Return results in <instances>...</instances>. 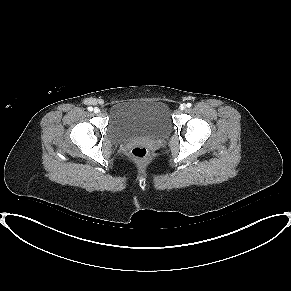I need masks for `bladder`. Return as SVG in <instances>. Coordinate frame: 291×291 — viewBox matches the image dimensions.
Masks as SVG:
<instances>
[{"mask_svg": "<svg viewBox=\"0 0 291 291\" xmlns=\"http://www.w3.org/2000/svg\"><path fill=\"white\" fill-rule=\"evenodd\" d=\"M172 125L170 109L162 100L121 101L110 106L108 112V134L115 141L161 135Z\"/></svg>", "mask_w": 291, "mask_h": 291, "instance_id": "1", "label": "bladder"}]
</instances>
